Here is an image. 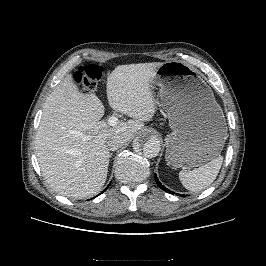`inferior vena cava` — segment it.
<instances>
[{"mask_svg": "<svg viewBox=\"0 0 266 266\" xmlns=\"http://www.w3.org/2000/svg\"><path fill=\"white\" fill-rule=\"evenodd\" d=\"M125 143L126 141L122 136L114 135L107 140L106 146L110 151H115L119 149L121 146H123Z\"/></svg>", "mask_w": 266, "mask_h": 266, "instance_id": "602c4592", "label": "inferior vena cava"}]
</instances>
